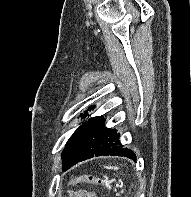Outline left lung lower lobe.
Listing matches in <instances>:
<instances>
[{"instance_id":"0a47b994","label":"left lung lower lobe","mask_w":191,"mask_h":197,"mask_svg":"<svg viewBox=\"0 0 191 197\" xmlns=\"http://www.w3.org/2000/svg\"><path fill=\"white\" fill-rule=\"evenodd\" d=\"M85 114L81 116L85 117ZM119 136L116 129L105 127L104 117L90 118L69 139L72 153L69 158L63 160V170L66 171L80 161L102 155L124 156L136 161L132 150L122 148Z\"/></svg>"}]
</instances>
